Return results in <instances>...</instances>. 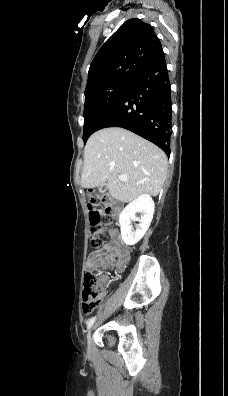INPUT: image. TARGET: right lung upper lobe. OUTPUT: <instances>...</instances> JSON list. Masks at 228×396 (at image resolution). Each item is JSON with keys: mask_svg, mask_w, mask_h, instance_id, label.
<instances>
[{"mask_svg": "<svg viewBox=\"0 0 228 396\" xmlns=\"http://www.w3.org/2000/svg\"><path fill=\"white\" fill-rule=\"evenodd\" d=\"M161 50L151 25L137 18L124 22L93 59L85 92L109 83H131Z\"/></svg>", "mask_w": 228, "mask_h": 396, "instance_id": "right-lung-upper-lobe-1", "label": "right lung upper lobe"}]
</instances>
